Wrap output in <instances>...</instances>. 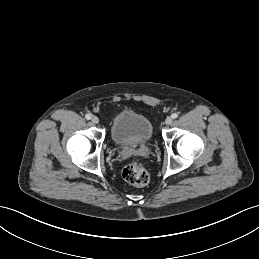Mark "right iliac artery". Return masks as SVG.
I'll return each mask as SVG.
<instances>
[{
    "instance_id": "1",
    "label": "right iliac artery",
    "mask_w": 259,
    "mask_h": 259,
    "mask_svg": "<svg viewBox=\"0 0 259 259\" xmlns=\"http://www.w3.org/2000/svg\"><path fill=\"white\" fill-rule=\"evenodd\" d=\"M85 118H86L87 120H90V119H91V115H90V114H86V115H85Z\"/></svg>"
}]
</instances>
